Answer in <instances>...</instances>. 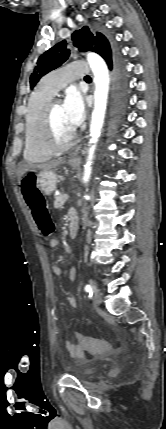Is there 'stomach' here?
<instances>
[{
    "mask_svg": "<svg viewBox=\"0 0 166 429\" xmlns=\"http://www.w3.org/2000/svg\"><path fill=\"white\" fill-rule=\"evenodd\" d=\"M78 164L77 161H69V165L73 168L77 167ZM35 178L42 194L50 196L56 190L59 176L54 170L40 171L35 174Z\"/></svg>",
    "mask_w": 166,
    "mask_h": 429,
    "instance_id": "1",
    "label": "stomach"
}]
</instances>
